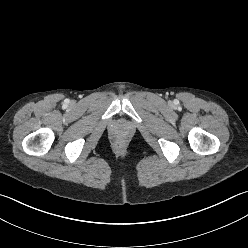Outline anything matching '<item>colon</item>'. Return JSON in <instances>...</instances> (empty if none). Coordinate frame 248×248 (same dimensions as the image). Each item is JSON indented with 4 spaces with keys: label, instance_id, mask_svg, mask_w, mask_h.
Masks as SVG:
<instances>
[{
    "label": "colon",
    "instance_id": "obj_1",
    "mask_svg": "<svg viewBox=\"0 0 248 248\" xmlns=\"http://www.w3.org/2000/svg\"><path fill=\"white\" fill-rule=\"evenodd\" d=\"M116 147H117L118 149H122V148L124 147V142H123V141H118V142L116 143Z\"/></svg>",
    "mask_w": 248,
    "mask_h": 248
}]
</instances>
